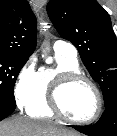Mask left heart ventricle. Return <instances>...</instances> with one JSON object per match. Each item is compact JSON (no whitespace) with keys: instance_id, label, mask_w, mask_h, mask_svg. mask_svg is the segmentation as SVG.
<instances>
[{"instance_id":"1","label":"left heart ventricle","mask_w":117,"mask_h":136,"mask_svg":"<svg viewBox=\"0 0 117 136\" xmlns=\"http://www.w3.org/2000/svg\"><path fill=\"white\" fill-rule=\"evenodd\" d=\"M63 104L66 112L77 119L92 117L97 108L96 95L93 89L84 82L76 83L65 91Z\"/></svg>"}]
</instances>
